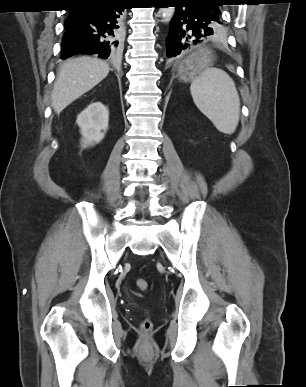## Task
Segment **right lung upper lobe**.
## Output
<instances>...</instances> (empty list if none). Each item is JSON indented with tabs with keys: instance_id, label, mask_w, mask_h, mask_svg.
I'll use <instances>...</instances> for the list:
<instances>
[{
	"instance_id": "1",
	"label": "right lung upper lobe",
	"mask_w": 306,
	"mask_h": 387,
	"mask_svg": "<svg viewBox=\"0 0 306 387\" xmlns=\"http://www.w3.org/2000/svg\"><path fill=\"white\" fill-rule=\"evenodd\" d=\"M73 5H82V4H98L101 2H105L108 0H70ZM73 19L69 16L67 21L65 22V26L72 25Z\"/></svg>"
}]
</instances>
